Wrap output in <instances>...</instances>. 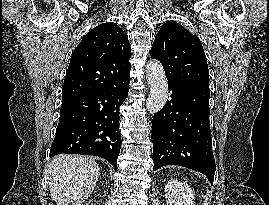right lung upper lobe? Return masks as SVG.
I'll return each instance as SVG.
<instances>
[{
    "label": "right lung upper lobe",
    "mask_w": 269,
    "mask_h": 205,
    "mask_svg": "<svg viewBox=\"0 0 269 205\" xmlns=\"http://www.w3.org/2000/svg\"><path fill=\"white\" fill-rule=\"evenodd\" d=\"M130 57V43L117 24L96 26L72 53L62 99L117 87L130 71Z\"/></svg>",
    "instance_id": "right-lung-upper-lobe-1"
}]
</instances>
